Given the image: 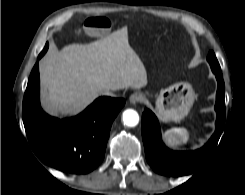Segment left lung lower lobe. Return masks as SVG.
Returning <instances> with one entry per match:
<instances>
[{"mask_svg": "<svg viewBox=\"0 0 245 195\" xmlns=\"http://www.w3.org/2000/svg\"><path fill=\"white\" fill-rule=\"evenodd\" d=\"M213 73L218 82L215 110L217 112L216 131L202 148L195 151L175 152L168 149L161 138L156 116L145 109L142 114V137L146 159L155 172L165 176H183L196 170V167L217 145L225 123V86L221 72Z\"/></svg>", "mask_w": 245, "mask_h": 195, "instance_id": "left-lung-lower-lobe-1", "label": "left lung lower lobe"}]
</instances>
